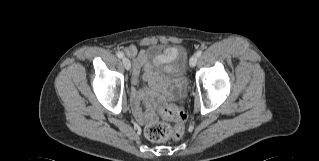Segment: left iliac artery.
Segmentation results:
<instances>
[{"label":"left iliac artery","mask_w":319,"mask_h":161,"mask_svg":"<svg viewBox=\"0 0 319 161\" xmlns=\"http://www.w3.org/2000/svg\"><path fill=\"white\" fill-rule=\"evenodd\" d=\"M201 54H202V51H201V50L197 51V53H196V55H197L198 57H200Z\"/></svg>","instance_id":"44dca946"}]
</instances>
